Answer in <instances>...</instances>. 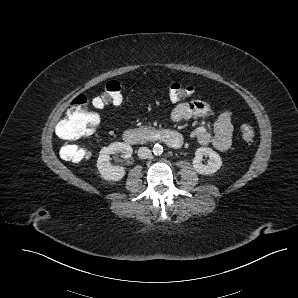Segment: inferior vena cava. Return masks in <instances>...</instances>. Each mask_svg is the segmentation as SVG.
Masks as SVG:
<instances>
[{
    "instance_id": "inferior-vena-cava-1",
    "label": "inferior vena cava",
    "mask_w": 298,
    "mask_h": 298,
    "mask_svg": "<svg viewBox=\"0 0 298 298\" xmlns=\"http://www.w3.org/2000/svg\"><path fill=\"white\" fill-rule=\"evenodd\" d=\"M137 155L140 159H147L151 156V151L147 147H140L138 149Z\"/></svg>"
}]
</instances>
